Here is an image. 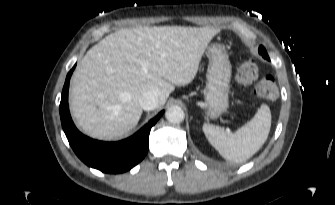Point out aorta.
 I'll list each match as a JSON object with an SVG mask.
<instances>
[{"label":"aorta","mask_w":335,"mask_h":205,"mask_svg":"<svg viewBox=\"0 0 335 205\" xmlns=\"http://www.w3.org/2000/svg\"><path fill=\"white\" fill-rule=\"evenodd\" d=\"M165 116L171 123H181L184 120L185 114L181 107L173 105L167 109Z\"/></svg>","instance_id":"obj_1"}]
</instances>
